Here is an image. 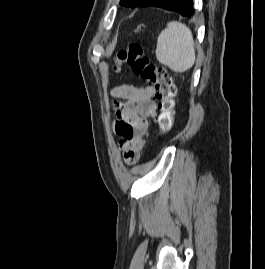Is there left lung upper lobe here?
<instances>
[{
    "mask_svg": "<svg viewBox=\"0 0 265 269\" xmlns=\"http://www.w3.org/2000/svg\"><path fill=\"white\" fill-rule=\"evenodd\" d=\"M143 1L145 0H121L120 5L135 8L138 7Z\"/></svg>",
    "mask_w": 265,
    "mask_h": 269,
    "instance_id": "5c2ea615",
    "label": "left lung upper lobe"
}]
</instances>
